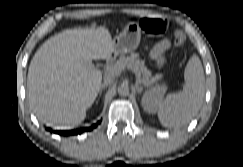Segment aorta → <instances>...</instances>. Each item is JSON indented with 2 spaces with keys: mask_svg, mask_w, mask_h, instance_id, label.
Segmentation results:
<instances>
[{
  "mask_svg": "<svg viewBox=\"0 0 243 167\" xmlns=\"http://www.w3.org/2000/svg\"><path fill=\"white\" fill-rule=\"evenodd\" d=\"M118 94L121 96H126L129 94V87L127 84H121L118 87Z\"/></svg>",
  "mask_w": 243,
  "mask_h": 167,
  "instance_id": "obj_1",
  "label": "aorta"
}]
</instances>
